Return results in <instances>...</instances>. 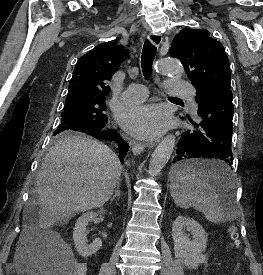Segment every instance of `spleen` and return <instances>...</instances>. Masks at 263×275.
I'll use <instances>...</instances> for the list:
<instances>
[{"instance_id": "1", "label": "spleen", "mask_w": 263, "mask_h": 275, "mask_svg": "<svg viewBox=\"0 0 263 275\" xmlns=\"http://www.w3.org/2000/svg\"><path fill=\"white\" fill-rule=\"evenodd\" d=\"M191 166V170L196 167L207 169H220L224 173L221 180L225 194L223 202L214 192L211 186L203 179L195 174H186L174 178L170 193L176 206L184 209L194 207L196 210L202 212L205 218L215 224L228 222L233 217V194L230 193L234 189L233 177L230 168L225 166L222 162L216 161H199L192 162L183 167Z\"/></svg>"}]
</instances>
